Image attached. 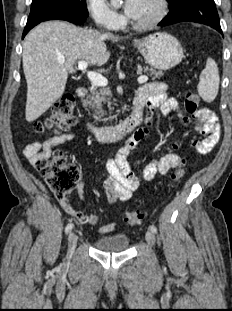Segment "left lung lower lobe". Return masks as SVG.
I'll return each instance as SVG.
<instances>
[{"label": "left lung lower lobe", "instance_id": "1", "mask_svg": "<svg viewBox=\"0 0 232 311\" xmlns=\"http://www.w3.org/2000/svg\"><path fill=\"white\" fill-rule=\"evenodd\" d=\"M169 8L170 12L159 26L190 21L208 25L222 33L214 0H175Z\"/></svg>", "mask_w": 232, "mask_h": 311}]
</instances>
